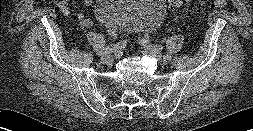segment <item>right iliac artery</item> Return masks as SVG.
<instances>
[{
    "label": "right iliac artery",
    "instance_id": "82829eb1",
    "mask_svg": "<svg viewBox=\"0 0 253 131\" xmlns=\"http://www.w3.org/2000/svg\"><path fill=\"white\" fill-rule=\"evenodd\" d=\"M124 46H125V43L120 42V43L102 48L97 54L98 55H105V54H108V53L116 52V51L124 48Z\"/></svg>",
    "mask_w": 253,
    "mask_h": 131
}]
</instances>
